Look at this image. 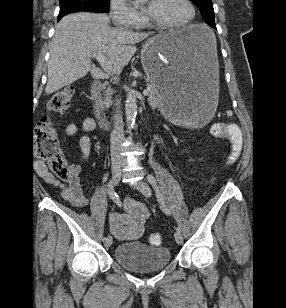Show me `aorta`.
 Returning <instances> with one entry per match:
<instances>
[{
    "instance_id": "762f6f07",
    "label": "aorta",
    "mask_w": 286,
    "mask_h": 308,
    "mask_svg": "<svg viewBox=\"0 0 286 308\" xmlns=\"http://www.w3.org/2000/svg\"><path fill=\"white\" fill-rule=\"evenodd\" d=\"M126 123L128 126H133L137 115V97L134 90H130L126 99Z\"/></svg>"
}]
</instances>
